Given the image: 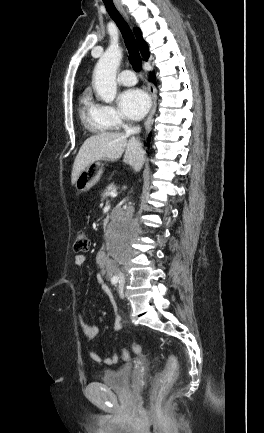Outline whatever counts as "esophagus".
<instances>
[{
  "mask_svg": "<svg viewBox=\"0 0 264 433\" xmlns=\"http://www.w3.org/2000/svg\"><path fill=\"white\" fill-rule=\"evenodd\" d=\"M115 3H116L117 8L119 9V11H121L123 13V15L128 19V16H127L126 12L124 11L123 7L121 6V4L117 0H115ZM148 91H149V95L151 98L152 107H151V111H150V113H149V115H148V117L144 123L146 132H149L151 129V125L153 123V116H154V113L156 111V106H157L156 90H155L153 84L150 82H148Z\"/></svg>",
  "mask_w": 264,
  "mask_h": 433,
  "instance_id": "obj_1",
  "label": "esophagus"
}]
</instances>
